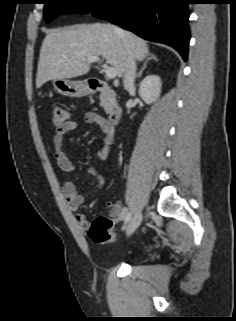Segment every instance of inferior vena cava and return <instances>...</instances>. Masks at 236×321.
Instances as JSON below:
<instances>
[{
  "label": "inferior vena cava",
  "mask_w": 236,
  "mask_h": 321,
  "mask_svg": "<svg viewBox=\"0 0 236 321\" xmlns=\"http://www.w3.org/2000/svg\"><path fill=\"white\" fill-rule=\"evenodd\" d=\"M115 33L120 36L127 47V60H126V71L123 76V85L126 90L134 88L135 77H136V61L128 43L124 31L118 27H113Z\"/></svg>",
  "instance_id": "inferior-vena-cava-1"
}]
</instances>
